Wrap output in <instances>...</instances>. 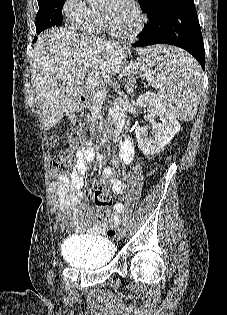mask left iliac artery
Here are the masks:
<instances>
[{"mask_svg": "<svg viewBox=\"0 0 227 315\" xmlns=\"http://www.w3.org/2000/svg\"><path fill=\"white\" fill-rule=\"evenodd\" d=\"M126 223H127V219H126V217H125L124 220L122 221V226L125 227V226H126Z\"/></svg>", "mask_w": 227, "mask_h": 315, "instance_id": "44dca946", "label": "left iliac artery"}]
</instances>
